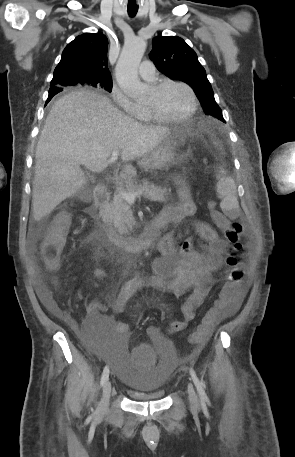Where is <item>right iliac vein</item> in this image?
<instances>
[{
	"mask_svg": "<svg viewBox=\"0 0 295 457\" xmlns=\"http://www.w3.org/2000/svg\"><path fill=\"white\" fill-rule=\"evenodd\" d=\"M111 388V382L107 379L103 386V394L98 407L99 413H104L108 410Z\"/></svg>",
	"mask_w": 295,
	"mask_h": 457,
	"instance_id": "63e3f726",
	"label": "right iliac vein"
}]
</instances>
